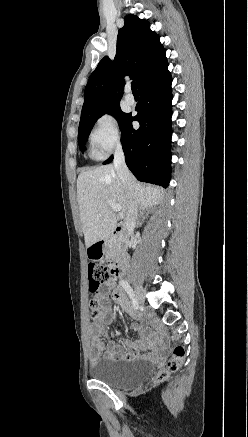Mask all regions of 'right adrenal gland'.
Returning <instances> with one entry per match:
<instances>
[{
    "label": "right adrenal gland",
    "mask_w": 248,
    "mask_h": 437,
    "mask_svg": "<svg viewBox=\"0 0 248 437\" xmlns=\"http://www.w3.org/2000/svg\"><path fill=\"white\" fill-rule=\"evenodd\" d=\"M147 215H148V211L145 212L144 215H143V213H141V216H140V218H139V220H138V222H137V225H138V226H141V225H142V223L144 222V220H145V218H146Z\"/></svg>",
    "instance_id": "obj_1"
}]
</instances>
